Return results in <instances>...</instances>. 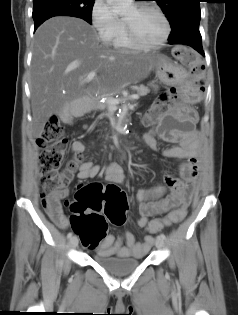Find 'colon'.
I'll use <instances>...</instances> for the list:
<instances>
[{"mask_svg": "<svg viewBox=\"0 0 238 315\" xmlns=\"http://www.w3.org/2000/svg\"><path fill=\"white\" fill-rule=\"evenodd\" d=\"M173 56L183 65L189 67L197 86L203 90L206 85L205 65L199 54L187 47H175ZM178 98L175 90H169L160 95L145 116L148 125L156 123L168 110L171 102ZM40 148V186L43 206H48L49 196L66 187L74 171L77 169L81 154L67 163L64 170L61 165L64 160L67 139L64 128L56 117H50L44 124L37 140ZM71 211L70 224L86 247H96L106 236L107 224L120 226L126 221L128 211L127 196L114 184L103 185L91 182L79 185L74 200L69 203ZM185 216L183 208L173 210L163 219H154L148 223L147 230L157 233L165 226L180 222Z\"/></svg>", "mask_w": 238, "mask_h": 315, "instance_id": "colon-1", "label": "colon"}]
</instances>
